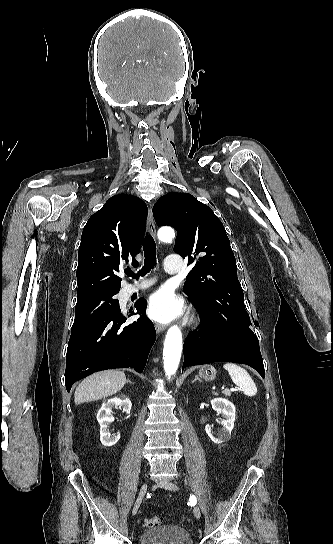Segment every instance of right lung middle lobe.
<instances>
[{
  "label": "right lung middle lobe",
  "mask_w": 333,
  "mask_h": 544,
  "mask_svg": "<svg viewBox=\"0 0 333 544\" xmlns=\"http://www.w3.org/2000/svg\"><path fill=\"white\" fill-rule=\"evenodd\" d=\"M117 292H105L78 299L72 331L88 325L96 319L120 310Z\"/></svg>",
  "instance_id": "obj_1"
}]
</instances>
